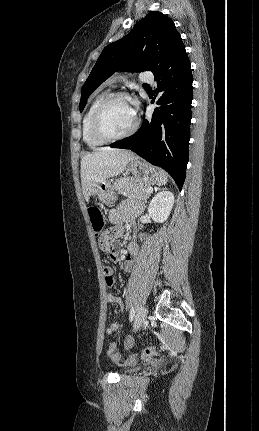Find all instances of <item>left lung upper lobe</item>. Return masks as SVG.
Masks as SVG:
<instances>
[{
    "label": "left lung upper lobe",
    "instance_id": "obj_1",
    "mask_svg": "<svg viewBox=\"0 0 259 431\" xmlns=\"http://www.w3.org/2000/svg\"><path fill=\"white\" fill-rule=\"evenodd\" d=\"M181 40L174 22L161 12H151L122 39L107 45L82 87L80 112L91 93L115 71L155 72L173 46Z\"/></svg>",
    "mask_w": 259,
    "mask_h": 431
}]
</instances>
